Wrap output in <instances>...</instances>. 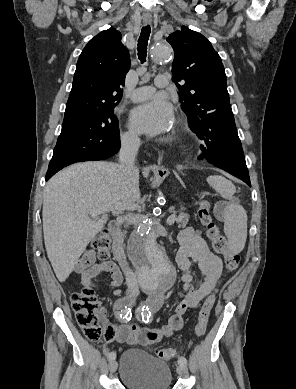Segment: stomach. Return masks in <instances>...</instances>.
Instances as JSON below:
<instances>
[{
	"instance_id": "stomach-1",
	"label": "stomach",
	"mask_w": 296,
	"mask_h": 389,
	"mask_svg": "<svg viewBox=\"0 0 296 389\" xmlns=\"http://www.w3.org/2000/svg\"><path fill=\"white\" fill-rule=\"evenodd\" d=\"M152 176V182L155 186H164L167 182L168 172L165 168H156Z\"/></svg>"
}]
</instances>
